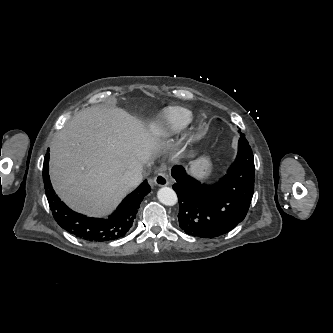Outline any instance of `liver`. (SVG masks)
<instances>
[{
    "instance_id": "1",
    "label": "liver",
    "mask_w": 333,
    "mask_h": 333,
    "mask_svg": "<svg viewBox=\"0 0 333 333\" xmlns=\"http://www.w3.org/2000/svg\"><path fill=\"white\" fill-rule=\"evenodd\" d=\"M155 141L121 108L88 107L78 112L51 144L53 187L73 210L103 216L130 189L123 181L125 171L134 163L147 164Z\"/></svg>"
}]
</instances>
